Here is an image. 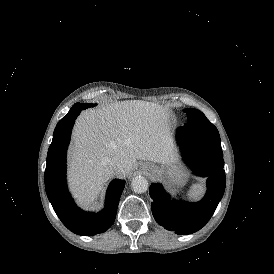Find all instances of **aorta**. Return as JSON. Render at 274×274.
Masks as SVG:
<instances>
[{
    "instance_id": "1",
    "label": "aorta",
    "mask_w": 274,
    "mask_h": 274,
    "mask_svg": "<svg viewBox=\"0 0 274 274\" xmlns=\"http://www.w3.org/2000/svg\"><path fill=\"white\" fill-rule=\"evenodd\" d=\"M149 187L148 181L143 176H136L131 182V188L135 193H144Z\"/></svg>"
}]
</instances>
